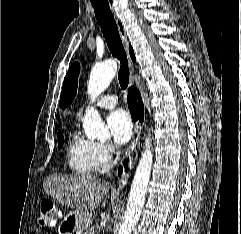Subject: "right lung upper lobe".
Instances as JSON below:
<instances>
[{"label":"right lung upper lobe","instance_id":"1","mask_svg":"<svg viewBox=\"0 0 241 234\" xmlns=\"http://www.w3.org/2000/svg\"><path fill=\"white\" fill-rule=\"evenodd\" d=\"M129 53H130V56H131L132 61L135 62V56H134V52H133V50H132L131 45H129ZM58 119H59V122H61V121H60V118H59V115H58Z\"/></svg>","mask_w":241,"mask_h":234}]
</instances>
